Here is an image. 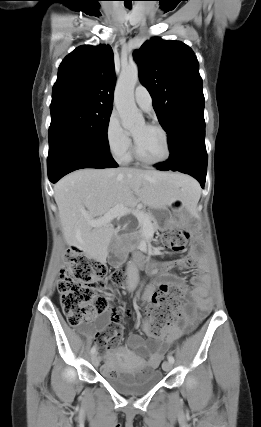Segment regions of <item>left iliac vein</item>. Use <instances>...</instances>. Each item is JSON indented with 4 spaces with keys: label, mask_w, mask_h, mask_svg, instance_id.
I'll use <instances>...</instances> for the list:
<instances>
[{
    "label": "left iliac vein",
    "mask_w": 261,
    "mask_h": 427,
    "mask_svg": "<svg viewBox=\"0 0 261 427\" xmlns=\"http://www.w3.org/2000/svg\"><path fill=\"white\" fill-rule=\"evenodd\" d=\"M162 368H163L164 371L168 372V371H170L172 369V363L169 362V361H165L162 364Z\"/></svg>",
    "instance_id": "4c4485c4"
}]
</instances>
